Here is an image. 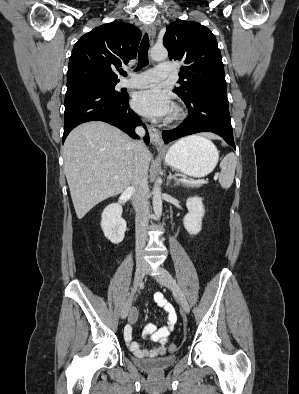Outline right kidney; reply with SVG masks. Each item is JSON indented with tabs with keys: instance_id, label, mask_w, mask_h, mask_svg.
<instances>
[{
	"instance_id": "1",
	"label": "right kidney",
	"mask_w": 299,
	"mask_h": 394,
	"mask_svg": "<svg viewBox=\"0 0 299 394\" xmlns=\"http://www.w3.org/2000/svg\"><path fill=\"white\" fill-rule=\"evenodd\" d=\"M121 215L122 207L118 203L109 204L101 215V228L104 235L114 244H119L123 241L127 229L126 221Z\"/></svg>"
}]
</instances>
